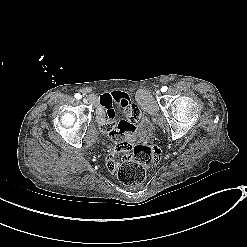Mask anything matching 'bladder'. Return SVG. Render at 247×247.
<instances>
[{
	"label": "bladder",
	"mask_w": 247,
	"mask_h": 247,
	"mask_svg": "<svg viewBox=\"0 0 247 247\" xmlns=\"http://www.w3.org/2000/svg\"><path fill=\"white\" fill-rule=\"evenodd\" d=\"M134 99L137 102V106L135 105V103H132V111L139 109L141 110V114L133 120V137L136 139L146 138L156 128V124L153 120V114L145 103L144 98L141 94L137 93L136 95H134Z\"/></svg>",
	"instance_id": "obj_1"
}]
</instances>
